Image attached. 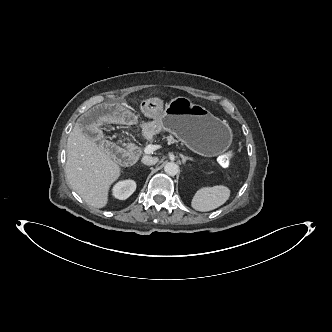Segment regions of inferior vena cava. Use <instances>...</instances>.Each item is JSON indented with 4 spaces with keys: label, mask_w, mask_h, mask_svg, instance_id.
<instances>
[{
    "label": "inferior vena cava",
    "mask_w": 332,
    "mask_h": 332,
    "mask_svg": "<svg viewBox=\"0 0 332 332\" xmlns=\"http://www.w3.org/2000/svg\"><path fill=\"white\" fill-rule=\"evenodd\" d=\"M141 161L145 165H155L159 161V159L157 157L145 155V156H143Z\"/></svg>",
    "instance_id": "602c4592"
}]
</instances>
